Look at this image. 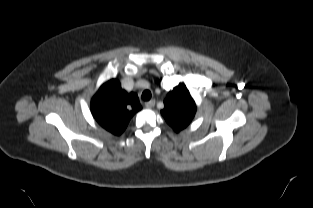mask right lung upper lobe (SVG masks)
I'll use <instances>...</instances> for the list:
<instances>
[{
    "mask_svg": "<svg viewBox=\"0 0 313 208\" xmlns=\"http://www.w3.org/2000/svg\"><path fill=\"white\" fill-rule=\"evenodd\" d=\"M140 110L138 96L123 90L116 79L104 83L91 100V112L95 120L117 136L126 129L132 116Z\"/></svg>",
    "mask_w": 313,
    "mask_h": 208,
    "instance_id": "1",
    "label": "right lung upper lobe"
}]
</instances>
